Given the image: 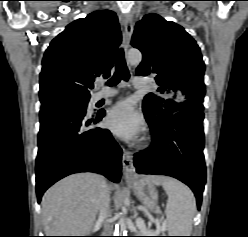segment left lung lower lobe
<instances>
[{"label":"left lung lower lobe","instance_id":"left-lung-lower-lobe-1","mask_svg":"<svg viewBox=\"0 0 248 237\" xmlns=\"http://www.w3.org/2000/svg\"><path fill=\"white\" fill-rule=\"evenodd\" d=\"M203 118L202 111L183 110L159 127L146 118L152 144L134 157L138 173L168 175L188 185L196 196L198 209L206 181Z\"/></svg>","mask_w":248,"mask_h":237}]
</instances>
